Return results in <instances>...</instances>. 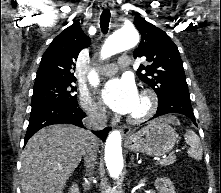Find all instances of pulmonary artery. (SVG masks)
Here are the masks:
<instances>
[{
  "label": "pulmonary artery",
  "instance_id": "pulmonary-artery-1",
  "mask_svg": "<svg viewBox=\"0 0 221 193\" xmlns=\"http://www.w3.org/2000/svg\"><path fill=\"white\" fill-rule=\"evenodd\" d=\"M130 65V59L127 56H122L119 58L117 64H106L102 69H101V74L105 76H110L114 75L119 67H126Z\"/></svg>",
  "mask_w": 221,
  "mask_h": 193
}]
</instances>
